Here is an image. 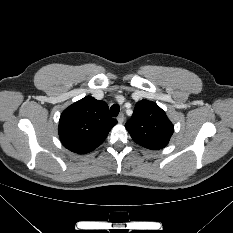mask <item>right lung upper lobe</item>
Listing matches in <instances>:
<instances>
[{
    "label": "right lung upper lobe",
    "instance_id": "1",
    "mask_svg": "<svg viewBox=\"0 0 233 233\" xmlns=\"http://www.w3.org/2000/svg\"><path fill=\"white\" fill-rule=\"evenodd\" d=\"M117 121L110 117L108 105L91 96L70 105L59 121V136L70 151L86 154L106 139Z\"/></svg>",
    "mask_w": 233,
    "mask_h": 233
}]
</instances>
